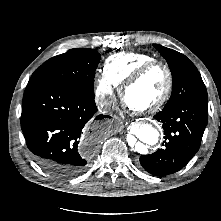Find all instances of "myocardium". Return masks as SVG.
<instances>
[{
    "label": "myocardium",
    "mask_w": 221,
    "mask_h": 221,
    "mask_svg": "<svg viewBox=\"0 0 221 221\" xmlns=\"http://www.w3.org/2000/svg\"><path fill=\"white\" fill-rule=\"evenodd\" d=\"M155 67H161L165 70L167 75V85L162 96L156 100L153 104L145 108H135L130 106L126 101L127 90L137 83L146 73ZM174 85L173 73L169 65L161 60H151L141 65L134 73H132L128 79L122 84L120 88V98L125 108L136 115H147L159 111L169 100Z\"/></svg>",
    "instance_id": "1"
}]
</instances>
